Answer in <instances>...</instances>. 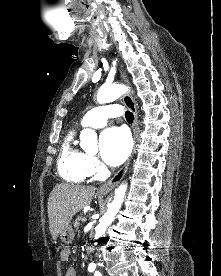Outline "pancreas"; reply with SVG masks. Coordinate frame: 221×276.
<instances>
[{
  "label": "pancreas",
  "mask_w": 221,
  "mask_h": 276,
  "mask_svg": "<svg viewBox=\"0 0 221 276\" xmlns=\"http://www.w3.org/2000/svg\"><path fill=\"white\" fill-rule=\"evenodd\" d=\"M81 219H82V215L77 216V218L75 219V221H74V227H75L76 229L79 228Z\"/></svg>",
  "instance_id": "obj_1"
}]
</instances>
